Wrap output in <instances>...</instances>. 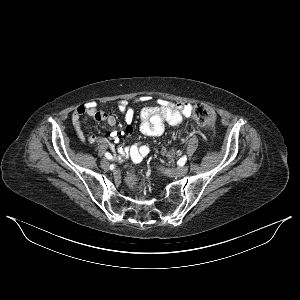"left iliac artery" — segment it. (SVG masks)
Instances as JSON below:
<instances>
[{"instance_id": "44dca946", "label": "left iliac artery", "mask_w": 300, "mask_h": 300, "mask_svg": "<svg viewBox=\"0 0 300 300\" xmlns=\"http://www.w3.org/2000/svg\"><path fill=\"white\" fill-rule=\"evenodd\" d=\"M186 161H187V156L184 155L182 158H180L178 162H180L181 164H185Z\"/></svg>"}]
</instances>
